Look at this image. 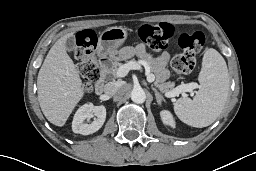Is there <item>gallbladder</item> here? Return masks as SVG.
Listing matches in <instances>:
<instances>
[{"label": "gallbladder", "mask_w": 256, "mask_h": 171, "mask_svg": "<svg viewBox=\"0 0 256 171\" xmlns=\"http://www.w3.org/2000/svg\"><path fill=\"white\" fill-rule=\"evenodd\" d=\"M65 48L68 52H71L76 48L75 37L74 36H70V37L67 38V40L65 42Z\"/></svg>", "instance_id": "bac80fb5"}]
</instances>
